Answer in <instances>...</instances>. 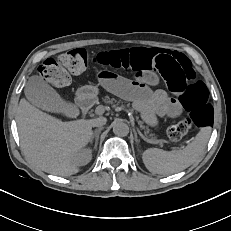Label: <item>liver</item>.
Here are the masks:
<instances>
[{
    "label": "liver",
    "instance_id": "1",
    "mask_svg": "<svg viewBox=\"0 0 231 231\" xmlns=\"http://www.w3.org/2000/svg\"><path fill=\"white\" fill-rule=\"evenodd\" d=\"M91 120L63 122L22 98L17 109L21 147L28 159L47 173L70 176L79 171L77 155L90 142Z\"/></svg>",
    "mask_w": 231,
    "mask_h": 231
}]
</instances>
